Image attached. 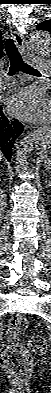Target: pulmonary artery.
<instances>
[{"label":"pulmonary artery","instance_id":"pulmonary-artery-1","mask_svg":"<svg viewBox=\"0 0 51 393\" xmlns=\"http://www.w3.org/2000/svg\"><path fill=\"white\" fill-rule=\"evenodd\" d=\"M39 67L41 69H43V71H47L49 68V63L48 62H40ZM7 80H8L7 82H5L4 84L1 85L2 88L12 85L14 83V80H10V79H7Z\"/></svg>","mask_w":51,"mask_h":393}]
</instances>
